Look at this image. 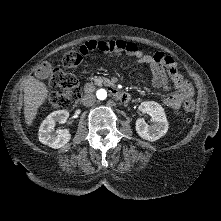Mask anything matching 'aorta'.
<instances>
[{
  "mask_svg": "<svg viewBox=\"0 0 221 221\" xmlns=\"http://www.w3.org/2000/svg\"><path fill=\"white\" fill-rule=\"evenodd\" d=\"M96 95L99 100H104L107 97V92L105 89H99Z\"/></svg>",
  "mask_w": 221,
  "mask_h": 221,
  "instance_id": "obj_1",
  "label": "aorta"
}]
</instances>
